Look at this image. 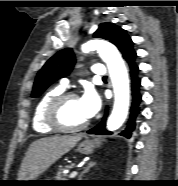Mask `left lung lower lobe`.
Listing matches in <instances>:
<instances>
[{"label": "left lung lower lobe", "instance_id": "1", "mask_svg": "<svg viewBox=\"0 0 178 186\" xmlns=\"http://www.w3.org/2000/svg\"><path fill=\"white\" fill-rule=\"evenodd\" d=\"M135 58L136 54L128 58L126 61L129 65L130 68V75H131V80H132V96H133V101L131 105V114L130 118L127 123V127L120 133L122 136H125L127 138H130L132 135V132L135 130V119L136 116L139 113V103L141 101V95L139 93V87L141 80L138 78L137 74L139 71L138 66L135 64ZM106 119H107V114L104 115L103 119L101 122L95 126L94 128L90 129L88 133L90 134H109L110 132H107L105 129L106 126Z\"/></svg>", "mask_w": 178, "mask_h": 186}]
</instances>
